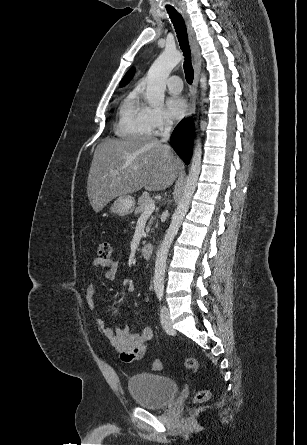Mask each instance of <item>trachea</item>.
Listing matches in <instances>:
<instances>
[{
    "label": "trachea",
    "instance_id": "3493384b",
    "mask_svg": "<svg viewBox=\"0 0 307 445\" xmlns=\"http://www.w3.org/2000/svg\"><path fill=\"white\" fill-rule=\"evenodd\" d=\"M166 9L176 30L178 41L180 42V47L185 57L183 64L185 78L187 82L191 84L194 78V70L191 65V52L189 48L186 26L182 16L175 10L174 7L169 6L166 7Z\"/></svg>",
    "mask_w": 307,
    "mask_h": 445
}]
</instances>
